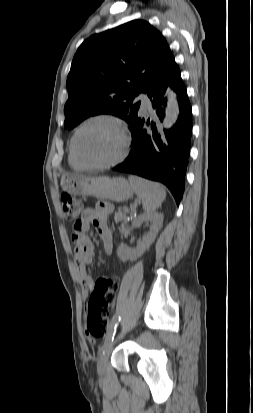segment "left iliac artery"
<instances>
[{
  "label": "left iliac artery",
  "mask_w": 253,
  "mask_h": 413,
  "mask_svg": "<svg viewBox=\"0 0 253 413\" xmlns=\"http://www.w3.org/2000/svg\"><path fill=\"white\" fill-rule=\"evenodd\" d=\"M119 321H120V317H119V316H114V317L112 318L111 325H110V329H109V331H108V333H107V336H106V338H105V342H104V346H103V347H106V346H109V345L112 344V342H113V340H114V336H115L116 329H117V326H118V322H119Z\"/></svg>",
  "instance_id": "44dca946"
}]
</instances>
